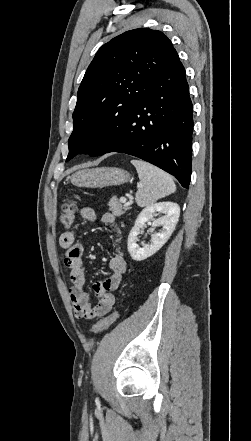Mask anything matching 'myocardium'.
Segmentation results:
<instances>
[{"label":"myocardium","instance_id":"1","mask_svg":"<svg viewBox=\"0 0 251 441\" xmlns=\"http://www.w3.org/2000/svg\"><path fill=\"white\" fill-rule=\"evenodd\" d=\"M95 136V132L92 131L87 135V139H92Z\"/></svg>","mask_w":251,"mask_h":441}]
</instances>
